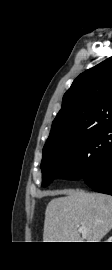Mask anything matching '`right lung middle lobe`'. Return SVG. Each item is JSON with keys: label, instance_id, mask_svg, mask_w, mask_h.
Segmentation results:
<instances>
[{"label": "right lung middle lobe", "instance_id": "dd1d6c3e", "mask_svg": "<svg viewBox=\"0 0 112 270\" xmlns=\"http://www.w3.org/2000/svg\"><path fill=\"white\" fill-rule=\"evenodd\" d=\"M112 146V124L80 135L57 146L43 149L42 186L56 178H84L96 170Z\"/></svg>", "mask_w": 112, "mask_h": 270}]
</instances>
